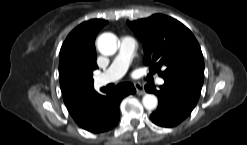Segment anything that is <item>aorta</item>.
I'll return each mask as SVG.
<instances>
[{
	"label": "aorta",
	"instance_id": "1",
	"mask_svg": "<svg viewBox=\"0 0 247 145\" xmlns=\"http://www.w3.org/2000/svg\"><path fill=\"white\" fill-rule=\"evenodd\" d=\"M98 50L103 55H113L118 48L117 38L111 33L100 35L97 41ZM142 103L148 110H153L158 105V99L153 94H145Z\"/></svg>",
	"mask_w": 247,
	"mask_h": 145
}]
</instances>
